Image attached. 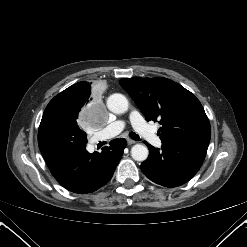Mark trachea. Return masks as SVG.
I'll list each match as a JSON object with an SVG mask.
<instances>
[{
    "label": "trachea",
    "mask_w": 247,
    "mask_h": 247,
    "mask_svg": "<svg viewBox=\"0 0 247 247\" xmlns=\"http://www.w3.org/2000/svg\"><path fill=\"white\" fill-rule=\"evenodd\" d=\"M129 137L131 139H133V140H136V141H139L140 140V137L136 133H134V132H130L129 133Z\"/></svg>",
    "instance_id": "3493384b"
}]
</instances>
